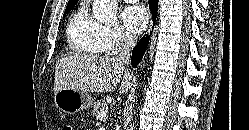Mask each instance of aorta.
<instances>
[{
    "instance_id": "aorta-1",
    "label": "aorta",
    "mask_w": 249,
    "mask_h": 130,
    "mask_svg": "<svg viewBox=\"0 0 249 130\" xmlns=\"http://www.w3.org/2000/svg\"><path fill=\"white\" fill-rule=\"evenodd\" d=\"M117 0H96L93 5V13L97 20L104 23H112L117 20ZM128 129L132 130L131 125Z\"/></svg>"
}]
</instances>
